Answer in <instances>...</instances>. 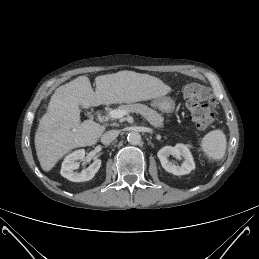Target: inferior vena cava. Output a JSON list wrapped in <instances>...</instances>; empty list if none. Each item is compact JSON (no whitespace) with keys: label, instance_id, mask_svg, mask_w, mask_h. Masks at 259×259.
Returning a JSON list of instances; mask_svg holds the SVG:
<instances>
[{"label":"inferior vena cava","instance_id":"inferior-vena-cava-1","mask_svg":"<svg viewBox=\"0 0 259 259\" xmlns=\"http://www.w3.org/2000/svg\"><path fill=\"white\" fill-rule=\"evenodd\" d=\"M118 134L119 132L117 130H109L102 135L101 142L104 145H108L117 138Z\"/></svg>","mask_w":259,"mask_h":259}]
</instances>
